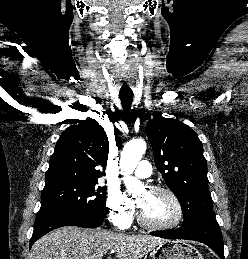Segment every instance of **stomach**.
<instances>
[{"instance_id": "1", "label": "stomach", "mask_w": 248, "mask_h": 259, "mask_svg": "<svg viewBox=\"0 0 248 259\" xmlns=\"http://www.w3.org/2000/svg\"><path fill=\"white\" fill-rule=\"evenodd\" d=\"M153 259H203L200 252L183 241H167L152 252Z\"/></svg>"}]
</instances>
